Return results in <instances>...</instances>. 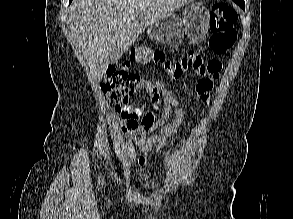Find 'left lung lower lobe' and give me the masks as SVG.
Returning <instances> with one entry per match:
<instances>
[{
  "label": "left lung lower lobe",
  "mask_w": 293,
  "mask_h": 219,
  "mask_svg": "<svg viewBox=\"0 0 293 219\" xmlns=\"http://www.w3.org/2000/svg\"><path fill=\"white\" fill-rule=\"evenodd\" d=\"M237 3L240 7H242L243 9H245V3H244V0L243 1H240V2H235Z\"/></svg>",
  "instance_id": "1"
}]
</instances>
